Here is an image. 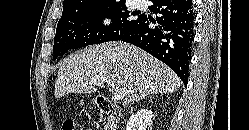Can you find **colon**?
<instances>
[{
    "instance_id": "colon-1",
    "label": "colon",
    "mask_w": 249,
    "mask_h": 130,
    "mask_svg": "<svg viewBox=\"0 0 249 130\" xmlns=\"http://www.w3.org/2000/svg\"><path fill=\"white\" fill-rule=\"evenodd\" d=\"M61 130H82L79 124H77L71 118H63L60 122Z\"/></svg>"
}]
</instances>
